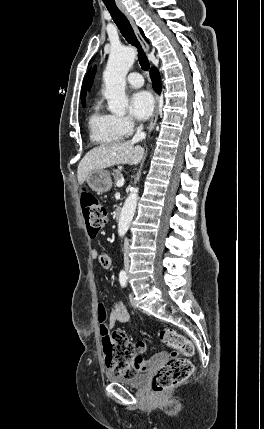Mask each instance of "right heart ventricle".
<instances>
[{
    "label": "right heart ventricle",
    "mask_w": 264,
    "mask_h": 429,
    "mask_svg": "<svg viewBox=\"0 0 264 429\" xmlns=\"http://www.w3.org/2000/svg\"><path fill=\"white\" fill-rule=\"evenodd\" d=\"M89 135L92 142L101 145L118 142L123 135L117 127L115 115L95 103L88 118Z\"/></svg>",
    "instance_id": "e07e8e85"
}]
</instances>
